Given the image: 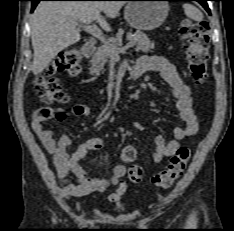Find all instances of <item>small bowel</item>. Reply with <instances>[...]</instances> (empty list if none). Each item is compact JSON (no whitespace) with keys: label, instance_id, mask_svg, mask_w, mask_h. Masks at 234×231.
Segmentation results:
<instances>
[{"label":"small bowel","instance_id":"small-bowel-1","mask_svg":"<svg viewBox=\"0 0 234 231\" xmlns=\"http://www.w3.org/2000/svg\"><path fill=\"white\" fill-rule=\"evenodd\" d=\"M137 65L143 66L147 70L158 71L163 79L170 85L175 98V106L179 117L183 122L182 126L175 127L173 139L166 141L163 135H157L154 139L155 151L153 160L156 163L164 158L172 156L180 148V141L188 136L197 134L199 130L198 119L192 109L191 90L180 76L177 68L168 59L160 55L143 56ZM91 110L85 104H76L69 110H53L48 107L36 109L31 118V127L40 138L48 154L52 157L56 167L57 176L62 186L63 193L71 197H83L93 192H103L110 186L115 190L109 194L110 202H117L126 192L127 185L123 181L126 174V166L117 164L113 167V175L110 179L91 177L86 169L81 165V161L89 152L99 151L104 146L101 137H91L80 144L71 152L72 141L69 136L62 135L55 138L51 129L45 127V123L51 119L63 121L68 116L84 117L90 115ZM134 127L140 131L146 129L144 124L134 123ZM73 174L77 182L73 183L68 176Z\"/></svg>","mask_w":234,"mask_h":231}]
</instances>
